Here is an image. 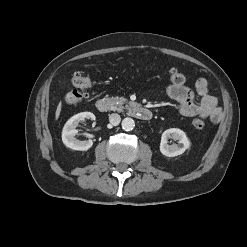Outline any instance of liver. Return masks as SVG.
<instances>
[{"label": "liver", "instance_id": "6515ba94", "mask_svg": "<svg viewBox=\"0 0 247 247\" xmlns=\"http://www.w3.org/2000/svg\"><path fill=\"white\" fill-rule=\"evenodd\" d=\"M61 108H62V104L59 103V105H58V107H57V110H56V113H55V118H56V120H58V118H59V116H60Z\"/></svg>", "mask_w": 247, "mask_h": 247}]
</instances>
